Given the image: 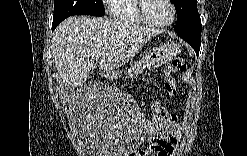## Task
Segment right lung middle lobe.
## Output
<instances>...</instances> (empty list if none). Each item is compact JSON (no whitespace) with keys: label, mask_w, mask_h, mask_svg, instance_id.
Returning <instances> with one entry per match:
<instances>
[{"label":"right lung middle lobe","mask_w":247,"mask_h":156,"mask_svg":"<svg viewBox=\"0 0 247 156\" xmlns=\"http://www.w3.org/2000/svg\"><path fill=\"white\" fill-rule=\"evenodd\" d=\"M104 14L102 0H54V24H59L72 15L103 16Z\"/></svg>","instance_id":"dd1d6c3e"}]
</instances>
